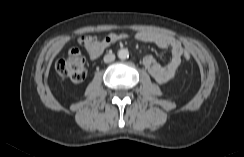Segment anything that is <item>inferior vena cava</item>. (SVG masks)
Wrapping results in <instances>:
<instances>
[{
  "label": "inferior vena cava",
  "mask_w": 244,
  "mask_h": 157,
  "mask_svg": "<svg viewBox=\"0 0 244 157\" xmlns=\"http://www.w3.org/2000/svg\"><path fill=\"white\" fill-rule=\"evenodd\" d=\"M115 60V55L114 54H106L104 56V62L105 63H110L113 62Z\"/></svg>",
  "instance_id": "obj_1"
}]
</instances>
